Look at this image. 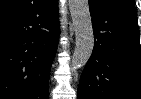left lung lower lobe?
Segmentation results:
<instances>
[{"mask_svg": "<svg viewBox=\"0 0 141 99\" xmlns=\"http://www.w3.org/2000/svg\"><path fill=\"white\" fill-rule=\"evenodd\" d=\"M95 44L78 99H141V47L135 7L89 0Z\"/></svg>", "mask_w": 141, "mask_h": 99, "instance_id": "1", "label": "left lung lower lobe"}]
</instances>
